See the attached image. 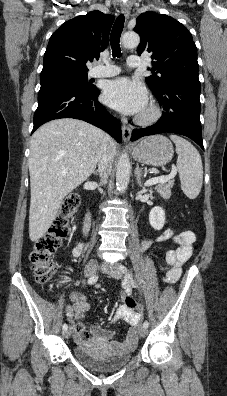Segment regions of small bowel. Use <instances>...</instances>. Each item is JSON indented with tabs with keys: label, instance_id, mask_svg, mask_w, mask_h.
Wrapping results in <instances>:
<instances>
[{
	"label": "small bowel",
	"instance_id": "obj_1",
	"mask_svg": "<svg viewBox=\"0 0 227 396\" xmlns=\"http://www.w3.org/2000/svg\"><path fill=\"white\" fill-rule=\"evenodd\" d=\"M172 238L177 247L171 249L166 254V276L164 281L175 283L181 275L183 264L191 257L193 252V243L195 235L190 230H185L175 234L171 229H167L158 235L156 241H164ZM152 239L146 238L142 242V248L146 249L152 243ZM82 246L78 245L74 251V256H79ZM125 294L122 296L123 303L118 306L114 315L115 320H124L131 325V328L123 342L113 340L114 331L104 329L97 324H92L88 329L84 325V313L90 308L86 296L74 291L71 293V299L74 304L68 312V316L77 321L74 327V339L77 343L83 344L93 342L101 345H109L113 349H129L135 346L137 342V326L141 321V314L134 308L126 304V300L131 298L132 283L127 282L124 285Z\"/></svg>",
	"mask_w": 227,
	"mask_h": 396
}]
</instances>
